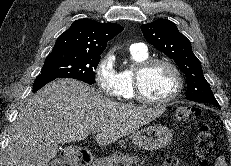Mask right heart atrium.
I'll list each match as a JSON object with an SVG mask.
<instances>
[{
  "label": "right heart atrium",
  "instance_id": "d8ad5b80",
  "mask_svg": "<svg viewBox=\"0 0 231 166\" xmlns=\"http://www.w3.org/2000/svg\"><path fill=\"white\" fill-rule=\"evenodd\" d=\"M95 82L99 90L110 98L122 95L120 74L116 69L112 51L105 53L98 61L94 71Z\"/></svg>",
  "mask_w": 231,
  "mask_h": 166
}]
</instances>
